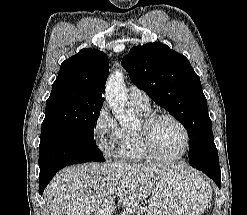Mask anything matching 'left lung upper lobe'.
<instances>
[{
    "label": "left lung upper lobe",
    "mask_w": 247,
    "mask_h": 215,
    "mask_svg": "<svg viewBox=\"0 0 247 215\" xmlns=\"http://www.w3.org/2000/svg\"><path fill=\"white\" fill-rule=\"evenodd\" d=\"M132 82L186 128L190 150L199 143L214 142L207 100L199 76L188 59L161 43L131 49L122 61Z\"/></svg>",
    "instance_id": "obj_1"
}]
</instances>
